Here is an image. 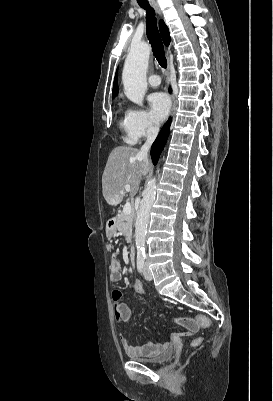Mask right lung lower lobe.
<instances>
[{"instance_id":"98d812e1","label":"right lung lower lobe","mask_w":273,"mask_h":401,"mask_svg":"<svg viewBox=\"0 0 273 401\" xmlns=\"http://www.w3.org/2000/svg\"><path fill=\"white\" fill-rule=\"evenodd\" d=\"M170 120L163 126L162 130L160 131L158 137L156 138L155 142L151 148V158L153 164L156 165L159 159V156L166 144L168 135H169V128H170Z\"/></svg>"}]
</instances>
